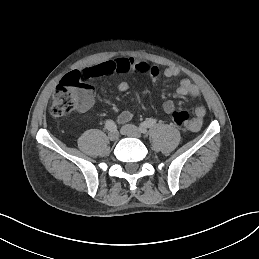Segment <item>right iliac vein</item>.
<instances>
[{"label": "right iliac vein", "instance_id": "right-iliac-vein-1", "mask_svg": "<svg viewBox=\"0 0 259 259\" xmlns=\"http://www.w3.org/2000/svg\"><path fill=\"white\" fill-rule=\"evenodd\" d=\"M108 138L111 140V141H115L117 138H118V132L113 130V131H110L108 133Z\"/></svg>", "mask_w": 259, "mask_h": 259}]
</instances>
